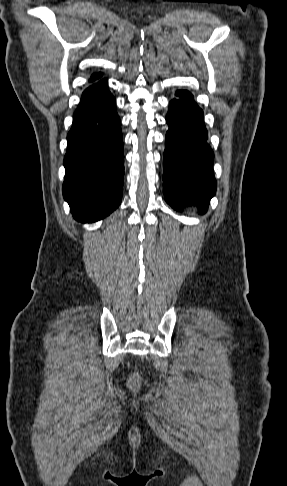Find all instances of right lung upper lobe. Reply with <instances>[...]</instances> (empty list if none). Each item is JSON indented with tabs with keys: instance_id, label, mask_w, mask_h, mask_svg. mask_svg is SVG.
I'll list each match as a JSON object with an SVG mask.
<instances>
[{
	"instance_id": "cb5924a9",
	"label": "right lung upper lobe",
	"mask_w": 287,
	"mask_h": 486,
	"mask_svg": "<svg viewBox=\"0 0 287 486\" xmlns=\"http://www.w3.org/2000/svg\"><path fill=\"white\" fill-rule=\"evenodd\" d=\"M101 76H102V73H100V72H99V73H97V74H93V75L91 76V78H90V81H94V80H96V79L100 78Z\"/></svg>"
}]
</instances>
